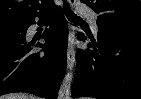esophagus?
I'll return each mask as SVG.
<instances>
[{"mask_svg": "<svg viewBox=\"0 0 141 99\" xmlns=\"http://www.w3.org/2000/svg\"><path fill=\"white\" fill-rule=\"evenodd\" d=\"M72 7L75 6L76 0H68ZM74 40H75V28L73 25L69 26V43L67 49V67L68 69H72L75 64V55L76 51L74 48Z\"/></svg>", "mask_w": 141, "mask_h": 99, "instance_id": "1", "label": "esophagus"}]
</instances>
